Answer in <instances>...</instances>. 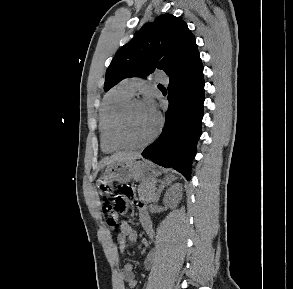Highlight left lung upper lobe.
<instances>
[{
    "label": "left lung upper lobe",
    "instance_id": "1",
    "mask_svg": "<svg viewBox=\"0 0 293 289\" xmlns=\"http://www.w3.org/2000/svg\"><path fill=\"white\" fill-rule=\"evenodd\" d=\"M197 54L196 40L187 24L173 15H160L117 51L106 71L104 89L108 91L128 77H145L156 68L171 76Z\"/></svg>",
    "mask_w": 293,
    "mask_h": 289
}]
</instances>
